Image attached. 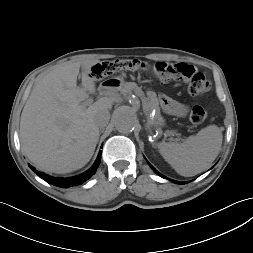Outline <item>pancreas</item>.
<instances>
[{
    "label": "pancreas",
    "instance_id": "pancreas-1",
    "mask_svg": "<svg viewBox=\"0 0 253 253\" xmlns=\"http://www.w3.org/2000/svg\"><path fill=\"white\" fill-rule=\"evenodd\" d=\"M131 91H135L138 95H140L143 100L148 104L149 112L152 110H156L157 114L155 116L156 123L162 125L163 119L159 113V102L154 91H147V97L142 92L141 87H138L135 83L127 82L123 85L121 89V94L126 96L127 94L131 93Z\"/></svg>",
    "mask_w": 253,
    "mask_h": 253
}]
</instances>
